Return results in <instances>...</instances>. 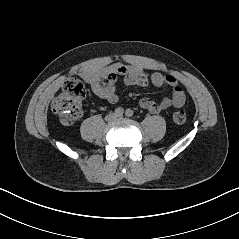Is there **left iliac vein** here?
Returning <instances> with one entry per match:
<instances>
[{"label": "left iliac vein", "mask_w": 239, "mask_h": 239, "mask_svg": "<svg viewBox=\"0 0 239 239\" xmlns=\"http://www.w3.org/2000/svg\"><path fill=\"white\" fill-rule=\"evenodd\" d=\"M121 117H122V116H119V115L117 116V118H121Z\"/></svg>", "instance_id": "1"}]
</instances>
